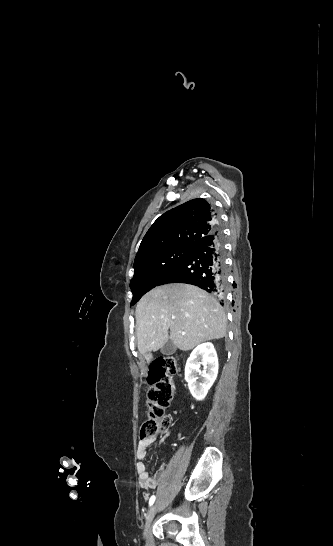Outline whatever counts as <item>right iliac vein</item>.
<instances>
[{"instance_id": "1", "label": "right iliac vein", "mask_w": 333, "mask_h": 546, "mask_svg": "<svg viewBox=\"0 0 333 546\" xmlns=\"http://www.w3.org/2000/svg\"><path fill=\"white\" fill-rule=\"evenodd\" d=\"M157 512V503H155L149 510V512L147 513V516H146V521H145V526H144V531H143V535L146 536L147 533H148V529H149V526L155 516Z\"/></svg>"}]
</instances>
